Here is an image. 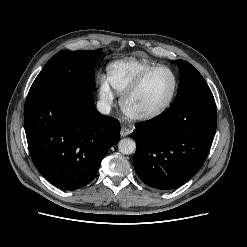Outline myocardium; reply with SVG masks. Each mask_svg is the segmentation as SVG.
Here are the masks:
<instances>
[{"mask_svg": "<svg viewBox=\"0 0 247 247\" xmlns=\"http://www.w3.org/2000/svg\"><path fill=\"white\" fill-rule=\"evenodd\" d=\"M159 70H164L167 71L173 79V89L168 97V99L158 108L149 110V111H135L129 106V101L130 99L136 94V92L140 89L146 78L151 75L152 73L159 71ZM179 89V81L178 78L175 74V72L169 68L168 66L165 65H156L153 66L144 72H142L128 87L127 89L122 93L121 99H120V105L123 111L128 115L129 117L133 119H138V120H150L153 118H156L163 114L173 103L177 92Z\"/></svg>", "mask_w": 247, "mask_h": 247, "instance_id": "1", "label": "myocardium"}]
</instances>
